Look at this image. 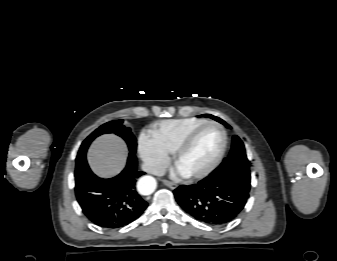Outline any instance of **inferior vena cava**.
Listing matches in <instances>:
<instances>
[{
    "instance_id": "inferior-vena-cava-1",
    "label": "inferior vena cava",
    "mask_w": 337,
    "mask_h": 261,
    "mask_svg": "<svg viewBox=\"0 0 337 261\" xmlns=\"http://www.w3.org/2000/svg\"><path fill=\"white\" fill-rule=\"evenodd\" d=\"M142 170L156 176H163L165 174V169L161 165L153 163H143Z\"/></svg>"
}]
</instances>
